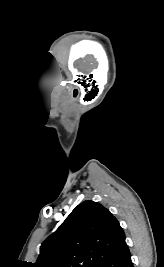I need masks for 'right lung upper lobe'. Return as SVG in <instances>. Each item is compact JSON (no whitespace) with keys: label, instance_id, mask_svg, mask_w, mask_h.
<instances>
[{"label":"right lung upper lobe","instance_id":"cb5924a9","mask_svg":"<svg viewBox=\"0 0 164 267\" xmlns=\"http://www.w3.org/2000/svg\"><path fill=\"white\" fill-rule=\"evenodd\" d=\"M124 246L117 219L101 204L87 200L42 243L34 266L99 267Z\"/></svg>","mask_w":164,"mask_h":267}]
</instances>
